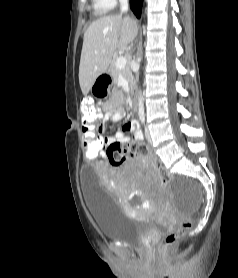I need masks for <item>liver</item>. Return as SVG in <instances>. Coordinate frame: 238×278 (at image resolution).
Here are the masks:
<instances>
[{"label":"liver","instance_id":"1","mask_svg":"<svg viewBox=\"0 0 238 278\" xmlns=\"http://www.w3.org/2000/svg\"><path fill=\"white\" fill-rule=\"evenodd\" d=\"M137 34V22L130 17L108 15L91 23L84 34L79 66L83 95H87L95 80L107 71L115 50H126Z\"/></svg>","mask_w":238,"mask_h":278}]
</instances>
